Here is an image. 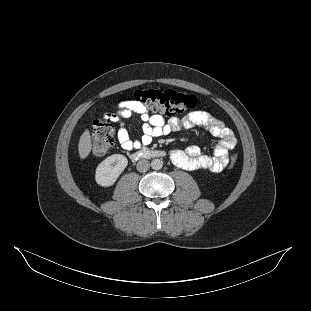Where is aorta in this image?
Instances as JSON below:
<instances>
[{"label":"aorta","instance_id":"aorta-1","mask_svg":"<svg viewBox=\"0 0 311 311\" xmlns=\"http://www.w3.org/2000/svg\"><path fill=\"white\" fill-rule=\"evenodd\" d=\"M163 166V162L160 159H153L151 161V167L153 170H160Z\"/></svg>","mask_w":311,"mask_h":311}]
</instances>
